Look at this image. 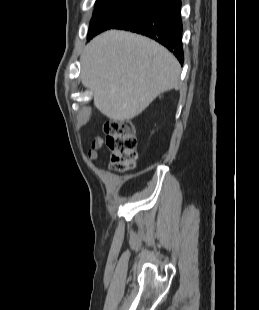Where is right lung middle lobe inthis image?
Returning <instances> with one entry per match:
<instances>
[{
	"label": "right lung middle lobe",
	"instance_id": "obj_1",
	"mask_svg": "<svg viewBox=\"0 0 259 310\" xmlns=\"http://www.w3.org/2000/svg\"><path fill=\"white\" fill-rule=\"evenodd\" d=\"M159 0H109L95 5L89 26L88 40L114 29L135 15L155 6Z\"/></svg>",
	"mask_w": 259,
	"mask_h": 310
}]
</instances>
